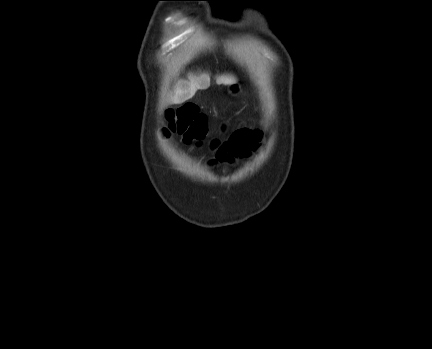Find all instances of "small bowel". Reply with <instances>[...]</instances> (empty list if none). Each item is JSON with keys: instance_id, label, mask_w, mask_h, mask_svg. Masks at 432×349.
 <instances>
[{"instance_id": "1", "label": "small bowel", "mask_w": 432, "mask_h": 349, "mask_svg": "<svg viewBox=\"0 0 432 349\" xmlns=\"http://www.w3.org/2000/svg\"><path fill=\"white\" fill-rule=\"evenodd\" d=\"M260 140V131L251 129L238 130L219 149L217 158L226 162H231L236 158H246L257 149Z\"/></svg>"}]
</instances>
